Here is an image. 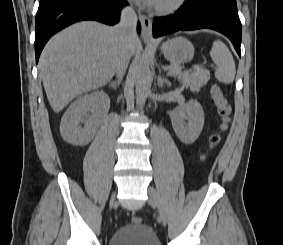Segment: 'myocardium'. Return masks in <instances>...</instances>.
<instances>
[{
    "instance_id": "1",
    "label": "myocardium",
    "mask_w": 283,
    "mask_h": 245,
    "mask_svg": "<svg viewBox=\"0 0 283 245\" xmlns=\"http://www.w3.org/2000/svg\"><path fill=\"white\" fill-rule=\"evenodd\" d=\"M188 0H168L154 3L153 9L161 15H170L181 10Z\"/></svg>"
}]
</instances>
